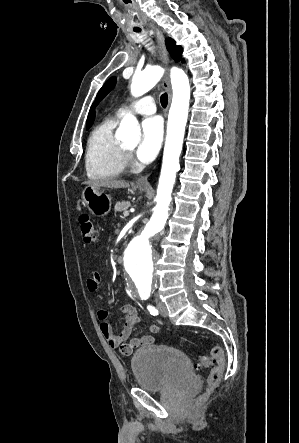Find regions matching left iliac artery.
<instances>
[{"label":"left iliac artery","mask_w":299,"mask_h":443,"mask_svg":"<svg viewBox=\"0 0 299 443\" xmlns=\"http://www.w3.org/2000/svg\"><path fill=\"white\" fill-rule=\"evenodd\" d=\"M147 309L151 315H154V316L158 315V310L154 306L148 305Z\"/></svg>","instance_id":"44dca946"}]
</instances>
